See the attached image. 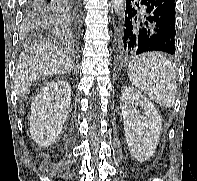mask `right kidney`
<instances>
[{"label":"right kidney","mask_w":197,"mask_h":181,"mask_svg":"<svg viewBox=\"0 0 197 181\" xmlns=\"http://www.w3.org/2000/svg\"><path fill=\"white\" fill-rule=\"evenodd\" d=\"M71 103V87L66 80L45 85L31 105L30 133L40 146L51 145L61 133Z\"/></svg>","instance_id":"obj_1"}]
</instances>
